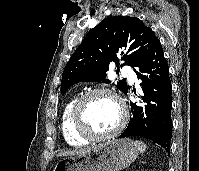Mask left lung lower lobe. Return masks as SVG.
I'll list each match as a JSON object with an SVG mask.
<instances>
[{
	"label": "left lung lower lobe",
	"instance_id": "0a47b994",
	"mask_svg": "<svg viewBox=\"0 0 199 171\" xmlns=\"http://www.w3.org/2000/svg\"><path fill=\"white\" fill-rule=\"evenodd\" d=\"M138 68L135 72L138 79L142 80L141 103H131L132 116L119 138L144 137L159 144L169 153L173 127L172 85L160 41L154 45Z\"/></svg>",
	"mask_w": 199,
	"mask_h": 171
}]
</instances>
